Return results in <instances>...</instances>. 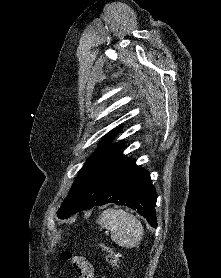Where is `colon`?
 Wrapping results in <instances>:
<instances>
[{
  "instance_id": "5ec220e1",
  "label": "colon",
  "mask_w": 221,
  "mask_h": 278,
  "mask_svg": "<svg viewBox=\"0 0 221 278\" xmlns=\"http://www.w3.org/2000/svg\"><path fill=\"white\" fill-rule=\"evenodd\" d=\"M96 246L105 253L106 262L110 267L119 266L121 255L117 250L103 243H97ZM63 258L70 262L79 278H107L105 274L96 275L92 265L83 256L73 255L71 252L65 251L63 252Z\"/></svg>"
}]
</instances>
